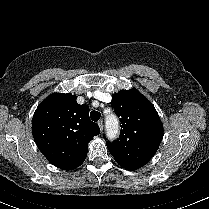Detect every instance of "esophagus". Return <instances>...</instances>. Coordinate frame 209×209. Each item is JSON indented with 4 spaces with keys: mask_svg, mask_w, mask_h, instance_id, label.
<instances>
[{
    "mask_svg": "<svg viewBox=\"0 0 209 209\" xmlns=\"http://www.w3.org/2000/svg\"><path fill=\"white\" fill-rule=\"evenodd\" d=\"M98 126H99L100 130L102 131L103 127H104V123L102 120L98 121Z\"/></svg>",
    "mask_w": 209,
    "mask_h": 209,
    "instance_id": "34e87169",
    "label": "esophagus"
}]
</instances>
